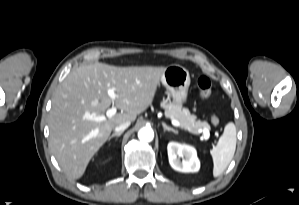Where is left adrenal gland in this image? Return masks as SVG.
Returning <instances> with one entry per match:
<instances>
[{"label": "left adrenal gland", "mask_w": 299, "mask_h": 205, "mask_svg": "<svg viewBox=\"0 0 299 205\" xmlns=\"http://www.w3.org/2000/svg\"><path fill=\"white\" fill-rule=\"evenodd\" d=\"M164 131H172L173 133L177 134V131L169 126H167L164 122L162 123Z\"/></svg>", "instance_id": "obj_1"}]
</instances>
